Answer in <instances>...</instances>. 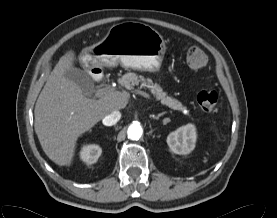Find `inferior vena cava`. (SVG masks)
Listing matches in <instances>:
<instances>
[{
    "label": "inferior vena cava",
    "mask_w": 277,
    "mask_h": 218,
    "mask_svg": "<svg viewBox=\"0 0 277 218\" xmlns=\"http://www.w3.org/2000/svg\"><path fill=\"white\" fill-rule=\"evenodd\" d=\"M120 118H121L120 111L114 110L103 118L102 123L105 126H112V125H115L120 120Z\"/></svg>",
    "instance_id": "1"
}]
</instances>
